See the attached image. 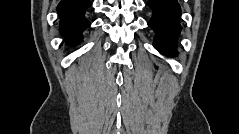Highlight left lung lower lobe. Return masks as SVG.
Wrapping results in <instances>:
<instances>
[{
  "label": "left lung lower lobe",
  "instance_id": "obj_1",
  "mask_svg": "<svg viewBox=\"0 0 239 134\" xmlns=\"http://www.w3.org/2000/svg\"><path fill=\"white\" fill-rule=\"evenodd\" d=\"M153 16L148 25L155 31L154 47L167 56L176 55V40L181 31V9L177 0H150Z\"/></svg>",
  "mask_w": 239,
  "mask_h": 134
}]
</instances>
